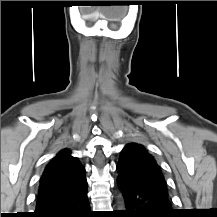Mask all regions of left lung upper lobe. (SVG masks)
<instances>
[{
	"mask_svg": "<svg viewBox=\"0 0 217 217\" xmlns=\"http://www.w3.org/2000/svg\"><path fill=\"white\" fill-rule=\"evenodd\" d=\"M118 176L130 184L168 194L160 166L139 144H128L121 151L117 164Z\"/></svg>",
	"mask_w": 217,
	"mask_h": 217,
	"instance_id": "1",
	"label": "left lung upper lobe"
}]
</instances>
